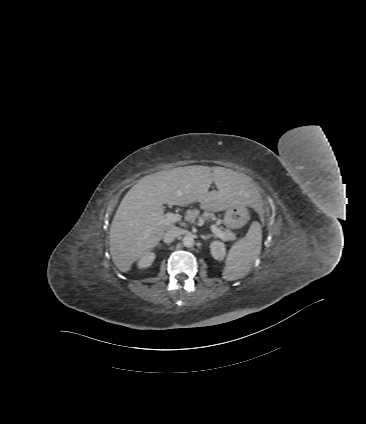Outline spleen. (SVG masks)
<instances>
[{
    "mask_svg": "<svg viewBox=\"0 0 366 424\" xmlns=\"http://www.w3.org/2000/svg\"><path fill=\"white\" fill-rule=\"evenodd\" d=\"M262 245V229L259 222H253L246 236L230 248L223 270V278L234 281L244 277L259 256Z\"/></svg>",
    "mask_w": 366,
    "mask_h": 424,
    "instance_id": "1",
    "label": "spleen"
}]
</instances>
